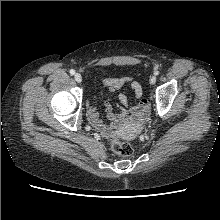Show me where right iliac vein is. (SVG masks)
I'll return each mask as SVG.
<instances>
[{
    "label": "right iliac vein",
    "mask_w": 220,
    "mask_h": 220,
    "mask_svg": "<svg viewBox=\"0 0 220 220\" xmlns=\"http://www.w3.org/2000/svg\"><path fill=\"white\" fill-rule=\"evenodd\" d=\"M74 79L76 82L81 83L82 82V76L79 73H75Z\"/></svg>",
    "instance_id": "63e3f726"
}]
</instances>
